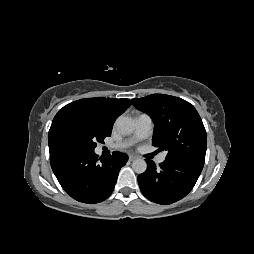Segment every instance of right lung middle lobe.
<instances>
[{
    "label": "right lung middle lobe",
    "instance_id": "right-lung-middle-lobe-1",
    "mask_svg": "<svg viewBox=\"0 0 254 254\" xmlns=\"http://www.w3.org/2000/svg\"><path fill=\"white\" fill-rule=\"evenodd\" d=\"M111 135L96 117L85 114L64 116L55 126L54 139L57 144H65L94 150L96 143H103Z\"/></svg>",
    "mask_w": 254,
    "mask_h": 254
}]
</instances>
